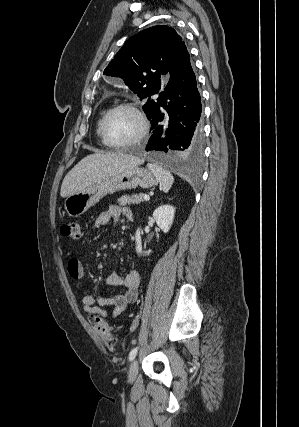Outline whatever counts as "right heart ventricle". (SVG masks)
I'll return each instance as SVG.
<instances>
[{
    "mask_svg": "<svg viewBox=\"0 0 299 427\" xmlns=\"http://www.w3.org/2000/svg\"><path fill=\"white\" fill-rule=\"evenodd\" d=\"M107 110H108V109H107V108H105V109H103V110L100 112L99 117H98L97 122H96L95 133H96V136H97V138H98V139H100V135H99V126H100L101 120H102L103 116L105 115V113L107 112Z\"/></svg>",
    "mask_w": 299,
    "mask_h": 427,
    "instance_id": "obj_1",
    "label": "right heart ventricle"
}]
</instances>
